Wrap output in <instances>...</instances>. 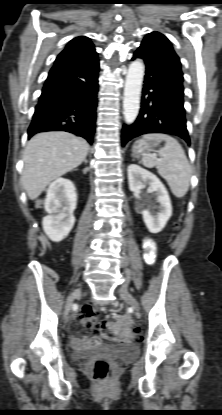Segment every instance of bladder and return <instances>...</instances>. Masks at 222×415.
<instances>
[{"label": "bladder", "instance_id": "obj_1", "mask_svg": "<svg viewBox=\"0 0 222 415\" xmlns=\"http://www.w3.org/2000/svg\"><path fill=\"white\" fill-rule=\"evenodd\" d=\"M139 354V347L132 342L122 344H104L94 347H72L70 356L73 361H82L84 359L104 355L108 358L120 361L134 359Z\"/></svg>", "mask_w": 222, "mask_h": 415}]
</instances>
